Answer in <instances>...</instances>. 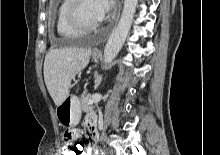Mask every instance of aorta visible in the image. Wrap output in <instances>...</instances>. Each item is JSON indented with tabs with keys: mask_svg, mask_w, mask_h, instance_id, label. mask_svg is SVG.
Segmentation results:
<instances>
[{
	"mask_svg": "<svg viewBox=\"0 0 220 155\" xmlns=\"http://www.w3.org/2000/svg\"><path fill=\"white\" fill-rule=\"evenodd\" d=\"M137 3L138 0H124L121 18L105 46V64L112 62L123 46L132 25Z\"/></svg>",
	"mask_w": 220,
	"mask_h": 155,
	"instance_id": "obj_1",
	"label": "aorta"
}]
</instances>
